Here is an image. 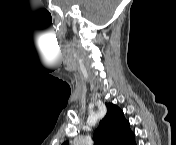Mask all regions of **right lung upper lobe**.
<instances>
[{
    "label": "right lung upper lobe",
    "instance_id": "cb5924a9",
    "mask_svg": "<svg viewBox=\"0 0 176 145\" xmlns=\"http://www.w3.org/2000/svg\"><path fill=\"white\" fill-rule=\"evenodd\" d=\"M107 114L94 132L95 145H135L134 134L120 108L106 103ZM64 144L68 145L66 141Z\"/></svg>",
    "mask_w": 176,
    "mask_h": 145
}]
</instances>
